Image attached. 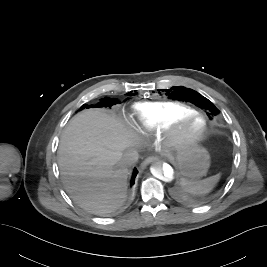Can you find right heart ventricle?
Returning <instances> with one entry per match:
<instances>
[{
    "mask_svg": "<svg viewBox=\"0 0 267 267\" xmlns=\"http://www.w3.org/2000/svg\"><path fill=\"white\" fill-rule=\"evenodd\" d=\"M196 112L190 105L178 101H149L132 106L131 116L143 133H157L164 125L179 117Z\"/></svg>",
    "mask_w": 267,
    "mask_h": 267,
    "instance_id": "right-heart-ventricle-1",
    "label": "right heart ventricle"
}]
</instances>
